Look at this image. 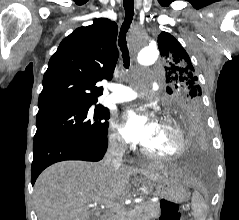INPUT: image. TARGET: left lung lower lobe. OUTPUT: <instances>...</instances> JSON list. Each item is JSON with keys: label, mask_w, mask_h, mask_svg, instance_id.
Here are the masks:
<instances>
[{"label": "left lung lower lobe", "mask_w": 239, "mask_h": 220, "mask_svg": "<svg viewBox=\"0 0 239 220\" xmlns=\"http://www.w3.org/2000/svg\"><path fill=\"white\" fill-rule=\"evenodd\" d=\"M185 131L188 144L186 163L203 166L206 162L207 136L202 108H187L175 116Z\"/></svg>", "instance_id": "0a47b994"}]
</instances>
